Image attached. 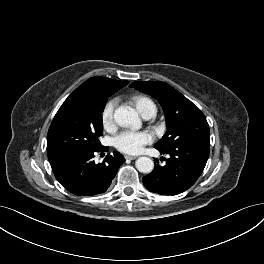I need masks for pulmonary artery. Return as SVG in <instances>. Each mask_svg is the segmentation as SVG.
<instances>
[{"mask_svg":"<svg viewBox=\"0 0 264 264\" xmlns=\"http://www.w3.org/2000/svg\"><path fill=\"white\" fill-rule=\"evenodd\" d=\"M155 114H156V111L153 110V111H150L149 113L145 114L143 117H144L145 119H150V118L154 117Z\"/></svg>","mask_w":264,"mask_h":264,"instance_id":"e3ab8cb5","label":"pulmonary artery"}]
</instances>
